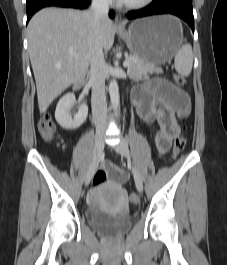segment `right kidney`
I'll return each mask as SVG.
<instances>
[{
	"mask_svg": "<svg viewBox=\"0 0 227 265\" xmlns=\"http://www.w3.org/2000/svg\"><path fill=\"white\" fill-rule=\"evenodd\" d=\"M74 102L75 95L73 93H67L59 100L56 107V121L66 130H72L80 127L87 118L88 107L86 104H81L79 106L78 113L72 117L69 111Z\"/></svg>",
	"mask_w": 227,
	"mask_h": 265,
	"instance_id": "1",
	"label": "right kidney"
}]
</instances>
